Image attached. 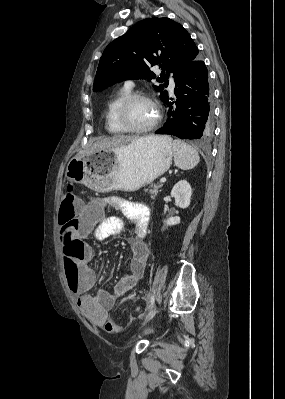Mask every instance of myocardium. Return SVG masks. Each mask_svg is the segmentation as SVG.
Masks as SVG:
<instances>
[{
    "label": "myocardium",
    "instance_id": "myocardium-1",
    "mask_svg": "<svg viewBox=\"0 0 285 399\" xmlns=\"http://www.w3.org/2000/svg\"><path fill=\"white\" fill-rule=\"evenodd\" d=\"M137 100H145L151 103L156 112L155 119L153 122L145 127L142 128H135L132 127L129 122H128V110L130 106ZM161 120V110L157 102L151 98L150 96L143 94V93H133L130 94L120 105L118 109V121L121 127L126 130L127 132L130 133H136V134H142L151 131L154 129L160 122Z\"/></svg>",
    "mask_w": 285,
    "mask_h": 399
}]
</instances>
